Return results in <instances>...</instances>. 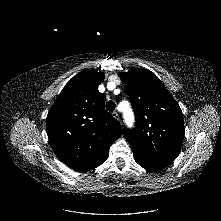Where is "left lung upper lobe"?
Returning <instances> with one entry per match:
<instances>
[{
	"instance_id": "1",
	"label": "left lung upper lobe",
	"mask_w": 221,
	"mask_h": 221,
	"mask_svg": "<svg viewBox=\"0 0 221 221\" xmlns=\"http://www.w3.org/2000/svg\"><path fill=\"white\" fill-rule=\"evenodd\" d=\"M136 116L135 128L124 136L133 153L170 164L184 137L182 111L160 79L147 69L120 72Z\"/></svg>"
}]
</instances>
